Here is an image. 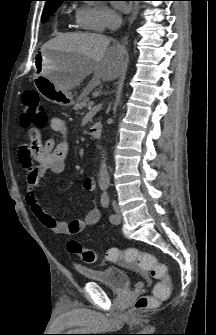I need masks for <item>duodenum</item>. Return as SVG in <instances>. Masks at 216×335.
<instances>
[{"instance_id":"1","label":"duodenum","mask_w":216,"mask_h":335,"mask_svg":"<svg viewBox=\"0 0 216 335\" xmlns=\"http://www.w3.org/2000/svg\"><path fill=\"white\" fill-rule=\"evenodd\" d=\"M101 129H102L101 124L95 123L89 127L88 130L89 135L94 139H98L101 136Z\"/></svg>"}]
</instances>
